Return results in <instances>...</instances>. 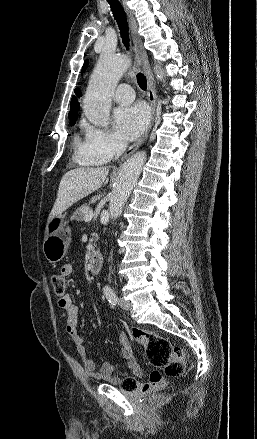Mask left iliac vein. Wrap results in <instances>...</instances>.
Here are the masks:
<instances>
[{
  "instance_id": "left-iliac-vein-1",
  "label": "left iliac vein",
  "mask_w": 257,
  "mask_h": 439,
  "mask_svg": "<svg viewBox=\"0 0 257 439\" xmlns=\"http://www.w3.org/2000/svg\"><path fill=\"white\" fill-rule=\"evenodd\" d=\"M119 305L121 308L125 310H131L132 309V303L128 300H125L124 298L119 299Z\"/></svg>"
}]
</instances>
